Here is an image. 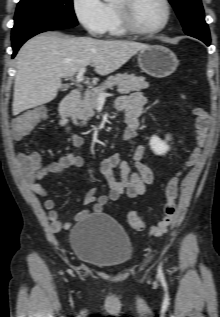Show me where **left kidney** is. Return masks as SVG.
I'll use <instances>...</instances> for the list:
<instances>
[{"label":"left kidney","instance_id":"obj_1","mask_svg":"<svg viewBox=\"0 0 220 317\" xmlns=\"http://www.w3.org/2000/svg\"><path fill=\"white\" fill-rule=\"evenodd\" d=\"M167 139H169V137H167ZM150 146L153 152L157 155H164L169 150V146L166 144V142L161 141L156 136L151 138Z\"/></svg>","mask_w":220,"mask_h":317}]
</instances>
